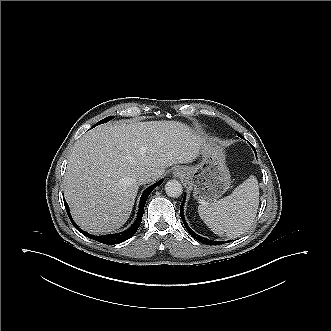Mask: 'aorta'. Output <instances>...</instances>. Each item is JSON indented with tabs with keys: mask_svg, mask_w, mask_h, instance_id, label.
I'll return each instance as SVG.
<instances>
[{
	"mask_svg": "<svg viewBox=\"0 0 331 331\" xmlns=\"http://www.w3.org/2000/svg\"><path fill=\"white\" fill-rule=\"evenodd\" d=\"M165 192L169 197L178 198L182 195L183 187L177 180H169L165 184Z\"/></svg>",
	"mask_w": 331,
	"mask_h": 331,
	"instance_id": "aorta-1",
	"label": "aorta"
}]
</instances>
